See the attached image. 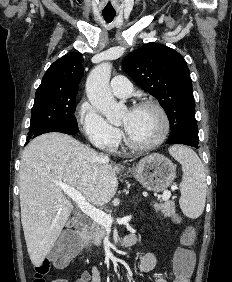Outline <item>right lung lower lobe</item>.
I'll return each instance as SVG.
<instances>
[{"instance_id": "1", "label": "right lung lower lobe", "mask_w": 232, "mask_h": 282, "mask_svg": "<svg viewBox=\"0 0 232 282\" xmlns=\"http://www.w3.org/2000/svg\"><path fill=\"white\" fill-rule=\"evenodd\" d=\"M47 132H61V133H66V134H69V135H72V134H75L76 131L72 130V129H69V128H66V127H62V126H55L53 128H51L50 130L44 132V133H47ZM43 134V133H42ZM41 135V134H40ZM38 136V135H37ZM36 136L32 137V138H35ZM31 138V139H32ZM30 139H28L27 141L29 142Z\"/></svg>"}]
</instances>
